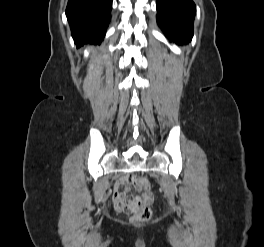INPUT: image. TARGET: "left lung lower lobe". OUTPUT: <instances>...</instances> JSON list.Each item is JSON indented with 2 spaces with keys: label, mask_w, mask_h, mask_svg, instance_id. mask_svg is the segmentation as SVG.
<instances>
[{
  "label": "left lung lower lobe",
  "mask_w": 264,
  "mask_h": 247,
  "mask_svg": "<svg viewBox=\"0 0 264 247\" xmlns=\"http://www.w3.org/2000/svg\"><path fill=\"white\" fill-rule=\"evenodd\" d=\"M157 24L166 37L178 45L193 37L196 6L192 0H157Z\"/></svg>",
  "instance_id": "left-lung-lower-lobe-1"
}]
</instances>
